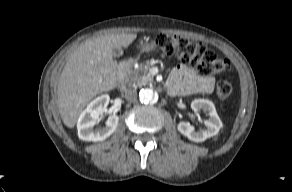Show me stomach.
<instances>
[{
	"mask_svg": "<svg viewBox=\"0 0 292 192\" xmlns=\"http://www.w3.org/2000/svg\"><path fill=\"white\" fill-rule=\"evenodd\" d=\"M139 48L141 49L142 52H149L153 49V44L149 43L148 40L141 41L139 44Z\"/></svg>",
	"mask_w": 292,
	"mask_h": 192,
	"instance_id": "obj_1",
	"label": "stomach"
}]
</instances>
